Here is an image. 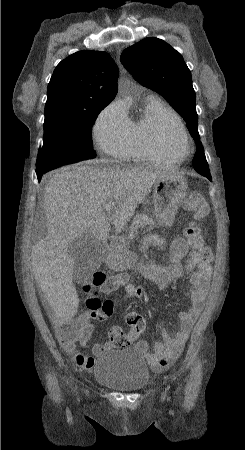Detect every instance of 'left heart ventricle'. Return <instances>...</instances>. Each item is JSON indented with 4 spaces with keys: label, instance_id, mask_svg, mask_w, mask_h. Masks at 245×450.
Segmentation results:
<instances>
[{
    "label": "left heart ventricle",
    "instance_id": "obj_1",
    "mask_svg": "<svg viewBox=\"0 0 245 450\" xmlns=\"http://www.w3.org/2000/svg\"><path fill=\"white\" fill-rule=\"evenodd\" d=\"M155 131L159 133L163 143L174 153L182 155L186 152L185 141L172 121L163 120L158 122Z\"/></svg>",
    "mask_w": 245,
    "mask_h": 450
}]
</instances>
